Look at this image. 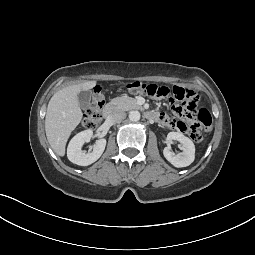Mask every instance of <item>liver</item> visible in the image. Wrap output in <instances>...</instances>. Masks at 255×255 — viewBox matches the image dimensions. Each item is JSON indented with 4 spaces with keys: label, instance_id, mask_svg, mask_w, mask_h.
I'll use <instances>...</instances> for the list:
<instances>
[{
    "label": "liver",
    "instance_id": "1",
    "mask_svg": "<svg viewBox=\"0 0 255 255\" xmlns=\"http://www.w3.org/2000/svg\"><path fill=\"white\" fill-rule=\"evenodd\" d=\"M96 81H84L58 90L50 99L45 118V131L48 142L59 156L65 155V147L71 132L82 119L78 101L81 91L92 89Z\"/></svg>",
    "mask_w": 255,
    "mask_h": 255
}]
</instances>
